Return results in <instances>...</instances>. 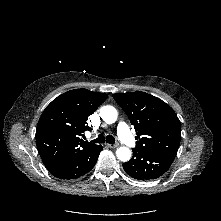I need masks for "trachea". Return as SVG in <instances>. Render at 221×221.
Wrapping results in <instances>:
<instances>
[{"mask_svg": "<svg viewBox=\"0 0 221 221\" xmlns=\"http://www.w3.org/2000/svg\"><path fill=\"white\" fill-rule=\"evenodd\" d=\"M113 144L115 142V138L112 135H107L106 137H104L102 134H99L98 137L96 139L93 140L94 143H104V142Z\"/></svg>", "mask_w": 221, "mask_h": 221, "instance_id": "trachea-1", "label": "trachea"}]
</instances>
